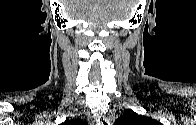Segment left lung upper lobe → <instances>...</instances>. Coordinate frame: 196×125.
I'll list each match as a JSON object with an SVG mask.
<instances>
[{
    "instance_id": "5c2ea615",
    "label": "left lung upper lobe",
    "mask_w": 196,
    "mask_h": 125,
    "mask_svg": "<svg viewBox=\"0 0 196 125\" xmlns=\"http://www.w3.org/2000/svg\"><path fill=\"white\" fill-rule=\"evenodd\" d=\"M119 125H159L160 123L150 117L129 112L117 120Z\"/></svg>"
}]
</instances>
